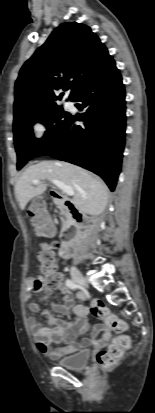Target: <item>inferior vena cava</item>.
I'll use <instances>...</instances> for the list:
<instances>
[{"mask_svg": "<svg viewBox=\"0 0 155 413\" xmlns=\"http://www.w3.org/2000/svg\"><path fill=\"white\" fill-rule=\"evenodd\" d=\"M77 270L73 267L71 268V272H76Z\"/></svg>", "mask_w": 155, "mask_h": 413, "instance_id": "602c4592", "label": "inferior vena cava"}]
</instances>
